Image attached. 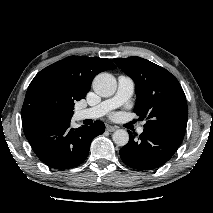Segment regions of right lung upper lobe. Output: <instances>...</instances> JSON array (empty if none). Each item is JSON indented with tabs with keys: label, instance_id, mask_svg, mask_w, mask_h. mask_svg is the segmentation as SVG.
Returning <instances> with one entry per match:
<instances>
[{
	"label": "right lung upper lobe",
	"instance_id": "1",
	"mask_svg": "<svg viewBox=\"0 0 213 213\" xmlns=\"http://www.w3.org/2000/svg\"><path fill=\"white\" fill-rule=\"evenodd\" d=\"M110 59L70 56L41 70L30 83L21 117L32 118L29 106L41 94L56 96L63 109L53 122L70 121L74 102L84 99L90 90L93 78L100 72L115 69Z\"/></svg>",
	"mask_w": 213,
	"mask_h": 213
}]
</instances>
